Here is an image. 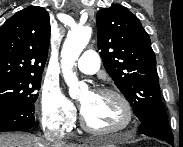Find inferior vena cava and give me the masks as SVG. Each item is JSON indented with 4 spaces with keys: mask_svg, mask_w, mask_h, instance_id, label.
I'll return each instance as SVG.
<instances>
[{
    "mask_svg": "<svg viewBox=\"0 0 183 147\" xmlns=\"http://www.w3.org/2000/svg\"><path fill=\"white\" fill-rule=\"evenodd\" d=\"M45 138L47 141L55 144H63L64 132L62 131H51L45 133Z\"/></svg>",
    "mask_w": 183,
    "mask_h": 147,
    "instance_id": "obj_1",
    "label": "inferior vena cava"
}]
</instances>
